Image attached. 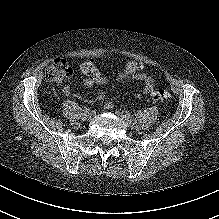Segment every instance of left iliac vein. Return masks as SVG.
Segmentation results:
<instances>
[{
	"label": "left iliac vein",
	"mask_w": 219,
	"mask_h": 219,
	"mask_svg": "<svg viewBox=\"0 0 219 219\" xmlns=\"http://www.w3.org/2000/svg\"><path fill=\"white\" fill-rule=\"evenodd\" d=\"M118 116L123 120V122L129 127L133 128L134 127V121L128 117H126L125 113L119 112Z\"/></svg>",
	"instance_id": "obj_1"
}]
</instances>
